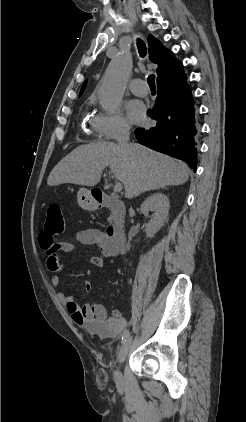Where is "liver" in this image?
<instances>
[{
  "label": "liver",
  "mask_w": 246,
  "mask_h": 422,
  "mask_svg": "<svg viewBox=\"0 0 246 422\" xmlns=\"http://www.w3.org/2000/svg\"><path fill=\"white\" fill-rule=\"evenodd\" d=\"M109 167L114 178L121 181L125 197L184 184L189 178L186 164L157 153L139 144H129L124 150L119 144L100 141L81 145L64 157L51 171L47 184L71 183L95 186L102 171Z\"/></svg>",
  "instance_id": "obj_1"
}]
</instances>
